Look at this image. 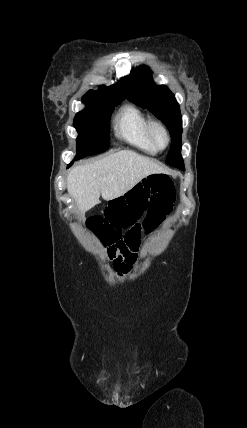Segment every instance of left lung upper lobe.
Returning <instances> with one entry per match:
<instances>
[{
	"instance_id": "left-lung-upper-lobe-1",
	"label": "left lung upper lobe",
	"mask_w": 247,
	"mask_h": 428,
	"mask_svg": "<svg viewBox=\"0 0 247 428\" xmlns=\"http://www.w3.org/2000/svg\"><path fill=\"white\" fill-rule=\"evenodd\" d=\"M121 83L129 101L147 108L169 129L172 143L166 163L174 167L184 165L181 156L182 116L174 94L165 85H156L145 67L131 71Z\"/></svg>"
}]
</instances>
